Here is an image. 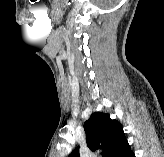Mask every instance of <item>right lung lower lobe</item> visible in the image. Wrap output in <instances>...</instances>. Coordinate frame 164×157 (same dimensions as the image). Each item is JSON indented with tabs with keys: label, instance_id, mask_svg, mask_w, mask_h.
I'll return each instance as SVG.
<instances>
[{
	"label": "right lung lower lobe",
	"instance_id": "right-lung-lower-lobe-1",
	"mask_svg": "<svg viewBox=\"0 0 164 157\" xmlns=\"http://www.w3.org/2000/svg\"><path fill=\"white\" fill-rule=\"evenodd\" d=\"M115 157H135L134 153L132 152L127 140L116 154Z\"/></svg>",
	"mask_w": 164,
	"mask_h": 157
}]
</instances>
